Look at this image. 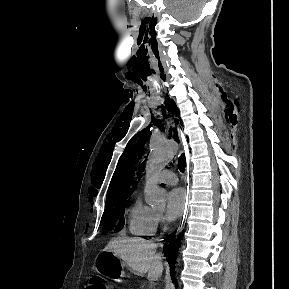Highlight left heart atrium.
Listing matches in <instances>:
<instances>
[{
  "instance_id": "obj_1",
  "label": "left heart atrium",
  "mask_w": 289,
  "mask_h": 289,
  "mask_svg": "<svg viewBox=\"0 0 289 289\" xmlns=\"http://www.w3.org/2000/svg\"><path fill=\"white\" fill-rule=\"evenodd\" d=\"M186 193L182 188H174L167 195L165 218L173 221L180 217L186 206Z\"/></svg>"
}]
</instances>
